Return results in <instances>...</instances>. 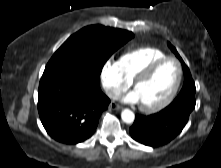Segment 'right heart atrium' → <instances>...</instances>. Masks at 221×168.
Here are the masks:
<instances>
[{"label":"right heart atrium","mask_w":221,"mask_h":168,"mask_svg":"<svg viewBox=\"0 0 221 168\" xmlns=\"http://www.w3.org/2000/svg\"><path fill=\"white\" fill-rule=\"evenodd\" d=\"M100 79L105 93L114 98L124 91L130 81L123 75L118 61L109 58L102 65Z\"/></svg>","instance_id":"right-heart-atrium-1"}]
</instances>
